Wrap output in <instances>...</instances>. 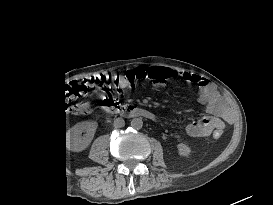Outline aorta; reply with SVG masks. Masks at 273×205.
Wrapping results in <instances>:
<instances>
[{"label":"aorta","mask_w":273,"mask_h":205,"mask_svg":"<svg viewBox=\"0 0 273 205\" xmlns=\"http://www.w3.org/2000/svg\"><path fill=\"white\" fill-rule=\"evenodd\" d=\"M142 126H143L142 118H133L131 120V127L133 129L139 130L142 128Z\"/></svg>","instance_id":"762f6f07"}]
</instances>
